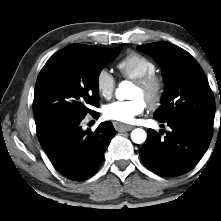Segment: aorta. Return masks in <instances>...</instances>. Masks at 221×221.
Here are the masks:
<instances>
[{"label": "aorta", "instance_id": "1", "mask_svg": "<svg viewBox=\"0 0 221 221\" xmlns=\"http://www.w3.org/2000/svg\"><path fill=\"white\" fill-rule=\"evenodd\" d=\"M131 87V83L128 81H122L119 87L116 89L115 96L118 100L128 99V89ZM147 137L146 132L143 129H134L131 133V139L134 143L141 144L145 142Z\"/></svg>", "mask_w": 221, "mask_h": 221}]
</instances>
